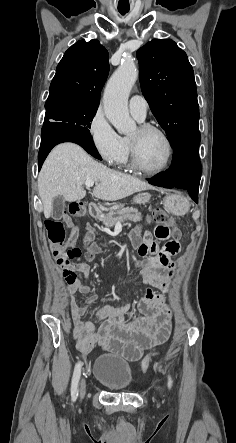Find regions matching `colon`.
<instances>
[{
	"instance_id": "5ec220e1",
	"label": "colon",
	"mask_w": 236,
	"mask_h": 443,
	"mask_svg": "<svg viewBox=\"0 0 236 443\" xmlns=\"http://www.w3.org/2000/svg\"><path fill=\"white\" fill-rule=\"evenodd\" d=\"M66 212L70 217L80 218L85 215V206L80 202H72L69 204ZM152 220L156 224L155 236L159 240H168L170 237L175 239L180 238L181 233L177 228L173 217L163 209H156L152 214ZM46 229L49 241L52 244L54 257L58 262L69 264L72 263L73 260H77L81 257L82 251L79 247H64L67 240L73 242L77 238L76 231L72 232L71 235L67 237V228L62 220H48L46 222ZM177 247L178 246L175 244H166V249L169 252L175 251ZM146 252V248L142 247L140 255L144 256ZM86 256L91 259L93 257V252L88 251ZM157 354L158 353H151L142 360L141 368L143 371L149 367L152 358ZM133 357L136 359L139 358L136 354H133Z\"/></svg>"
}]
</instances>
